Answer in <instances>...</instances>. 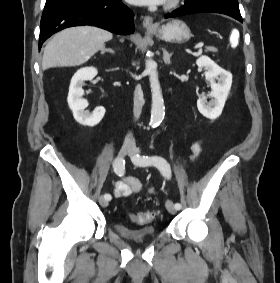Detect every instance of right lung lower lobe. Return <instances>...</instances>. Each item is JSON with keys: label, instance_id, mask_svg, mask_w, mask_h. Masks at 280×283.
<instances>
[{"label": "right lung lower lobe", "instance_id": "obj_1", "mask_svg": "<svg viewBox=\"0 0 280 283\" xmlns=\"http://www.w3.org/2000/svg\"><path fill=\"white\" fill-rule=\"evenodd\" d=\"M134 14L121 0H67L44 7L39 49L54 33L73 26L91 25L117 34L134 32Z\"/></svg>", "mask_w": 280, "mask_h": 283}]
</instances>
